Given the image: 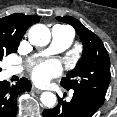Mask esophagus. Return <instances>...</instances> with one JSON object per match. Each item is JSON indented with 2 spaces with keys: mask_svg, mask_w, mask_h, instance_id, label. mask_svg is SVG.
Masks as SVG:
<instances>
[{
  "mask_svg": "<svg viewBox=\"0 0 117 117\" xmlns=\"http://www.w3.org/2000/svg\"><path fill=\"white\" fill-rule=\"evenodd\" d=\"M32 90H33L35 93H38V94L42 92V90L37 89V88H35V87H33Z\"/></svg>",
  "mask_w": 117,
  "mask_h": 117,
  "instance_id": "1",
  "label": "esophagus"
}]
</instances>
